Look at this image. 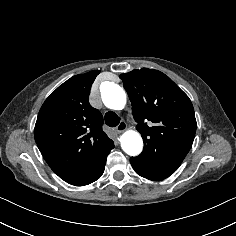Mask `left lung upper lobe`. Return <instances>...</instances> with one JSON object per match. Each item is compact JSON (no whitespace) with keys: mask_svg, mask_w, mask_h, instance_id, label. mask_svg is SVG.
Listing matches in <instances>:
<instances>
[{"mask_svg":"<svg viewBox=\"0 0 236 236\" xmlns=\"http://www.w3.org/2000/svg\"><path fill=\"white\" fill-rule=\"evenodd\" d=\"M120 78L144 141L139 156L181 164L192 146L197 127L188 96L158 70L142 68Z\"/></svg>","mask_w":236,"mask_h":236,"instance_id":"1","label":"left lung upper lobe"}]
</instances>
